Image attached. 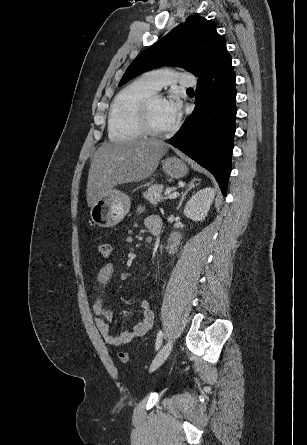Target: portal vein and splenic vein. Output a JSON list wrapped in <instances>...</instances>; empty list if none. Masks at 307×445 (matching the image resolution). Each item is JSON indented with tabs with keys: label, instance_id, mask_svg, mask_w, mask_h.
Wrapping results in <instances>:
<instances>
[{
	"label": "portal vein and splenic vein",
	"instance_id": "obj_1",
	"mask_svg": "<svg viewBox=\"0 0 307 445\" xmlns=\"http://www.w3.org/2000/svg\"><path fill=\"white\" fill-rule=\"evenodd\" d=\"M176 196H179V192H170L166 198H176Z\"/></svg>",
	"mask_w": 307,
	"mask_h": 445
}]
</instances>
